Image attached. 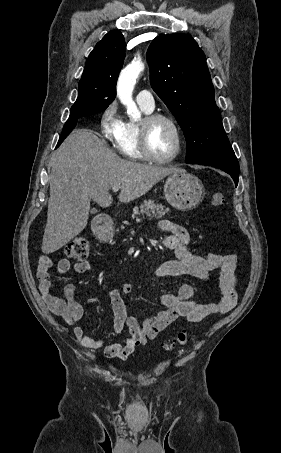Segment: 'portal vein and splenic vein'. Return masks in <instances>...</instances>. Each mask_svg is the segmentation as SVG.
Instances as JSON below:
<instances>
[{"label": "portal vein and splenic vein", "instance_id": "18ae733b", "mask_svg": "<svg viewBox=\"0 0 281 453\" xmlns=\"http://www.w3.org/2000/svg\"><path fill=\"white\" fill-rule=\"evenodd\" d=\"M119 188H121L120 184H114V186H112L113 192H118Z\"/></svg>", "mask_w": 281, "mask_h": 453}]
</instances>
